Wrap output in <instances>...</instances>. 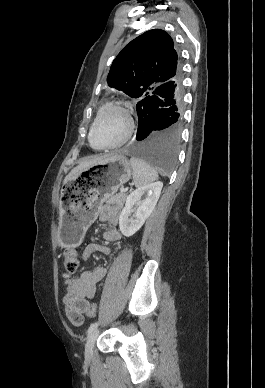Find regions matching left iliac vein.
<instances>
[{
  "instance_id": "4c4485c4",
  "label": "left iliac vein",
  "mask_w": 265,
  "mask_h": 388,
  "mask_svg": "<svg viewBox=\"0 0 265 388\" xmlns=\"http://www.w3.org/2000/svg\"><path fill=\"white\" fill-rule=\"evenodd\" d=\"M99 335V330L98 329H94L93 331H91L87 337V341H86V345H85V357L87 359H91L92 355H93V348H94V344H95V341L97 339Z\"/></svg>"
}]
</instances>
